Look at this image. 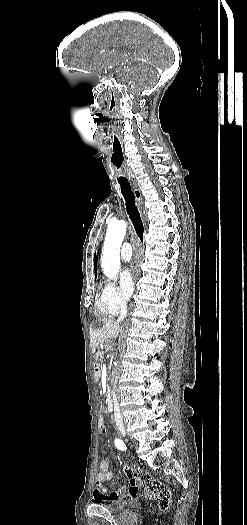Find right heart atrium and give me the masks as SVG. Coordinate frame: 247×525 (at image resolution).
Segmentation results:
<instances>
[{"label": "right heart atrium", "instance_id": "right-heart-atrium-1", "mask_svg": "<svg viewBox=\"0 0 247 525\" xmlns=\"http://www.w3.org/2000/svg\"><path fill=\"white\" fill-rule=\"evenodd\" d=\"M100 301L105 307L114 312H119L125 305V298L120 294L113 281L106 282Z\"/></svg>", "mask_w": 247, "mask_h": 525}]
</instances>
